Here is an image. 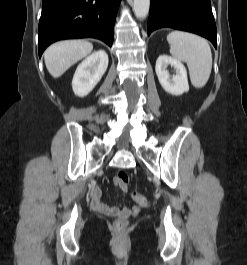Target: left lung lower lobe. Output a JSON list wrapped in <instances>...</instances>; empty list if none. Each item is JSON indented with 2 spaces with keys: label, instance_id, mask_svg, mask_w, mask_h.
Segmentation results:
<instances>
[{
  "label": "left lung lower lobe",
  "instance_id": "0a47b994",
  "mask_svg": "<svg viewBox=\"0 0 247 265\" xmlns=\"http://www.w3.org/2000/svg\"><path fill=\"white\" fill-rule=\"evenodd\" d=\"M163 27L198 34L217 48V30L210 0H151L148 35Z\"/></svg>",
  "mask_w": 247,
  "mask_h": 265
}]
</instances>
